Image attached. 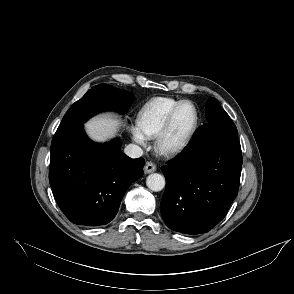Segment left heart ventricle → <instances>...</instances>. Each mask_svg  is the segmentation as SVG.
Masks as SVG:
<instances>
[{"mask_svg":"<svg viewBox=\"0 0 294 294\" xmlns=\"http://www.w3.org/2000/svg\"><path fill=\"white\" fill-rule=\"evenodd\" d=\"M195 110L192 105L185 104L178 111L173 125L165 139L166 146L180 144L190 132L195 122Z\"/></svg>","mask_w":294,"mask_h":294,"instance_id":"left-heart-ventricle-1","label":"left heart ventricle"}]
</instances>
